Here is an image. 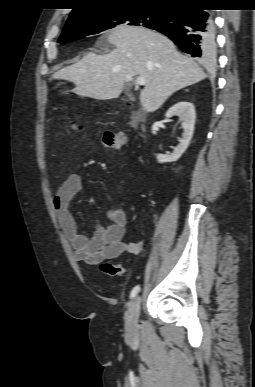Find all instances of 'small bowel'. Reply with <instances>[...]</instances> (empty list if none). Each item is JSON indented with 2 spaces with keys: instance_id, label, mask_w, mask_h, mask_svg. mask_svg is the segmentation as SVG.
Segmentation results:
<instances>
[{
  "instance_id": "c3829d8e",
  "label": "small bowel",
  "mask_w": 255,
  "mask_h": 387,
  "mask_svg": "<svg viewBox=\"0 0 255 387\" xmlns=\"http://www.w3.org/2000/svg\"><path fill=\"white\" fill-rule=\"evenodd\" d=\"M81 188L80 175L72 173L62 182L53 197L58 224L71 244L76 260L88 265H97L124 253H139L143 248V241H125L128 218L122 208L109 209L106 214L108 224L99 222L92 236L88 237L78 231L69 206Z\"/></svg>"
}]
</instances>
